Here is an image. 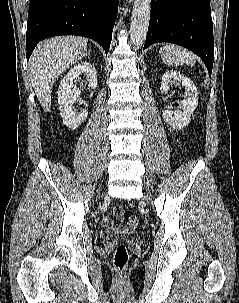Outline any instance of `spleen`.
<instances>
[{
	"instance_id": "spleen-1",
	"label": "spleen",
	"mask_w": 239,
	"mask_h": 303,
	"mask_svg": "<svg viewBox=\"0 0 239 303\" xmlns=\"http://www.w3.org/2000/svg\"><path fill=\"white\" fill-rule=\"evenodd\" d=\"M162 61L168 66L187 64L194 66L196 57L189 50L174 44H167L159 50Z\"/></svg>"
}]
</instances>
